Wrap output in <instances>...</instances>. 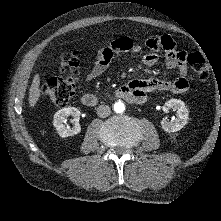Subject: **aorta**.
Here are the masks:
<instances>
[{
	"instance_id": "762f6f07",
	"label": "aorta",
	"mask_w": 221,
	"mask_h": 221,
	"mask_svg": "<svg viewBox=\"0 0 221 221\" xmlns=\"http://www.w3.org/2000/svg\"><path fill=\"white\" fill-rule=\"evenodd\" d=\"M125 110V105L121 101L115 102L114 104V111L116 113H122Z\"/></svg>"
}]
</instances>
